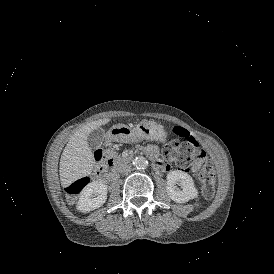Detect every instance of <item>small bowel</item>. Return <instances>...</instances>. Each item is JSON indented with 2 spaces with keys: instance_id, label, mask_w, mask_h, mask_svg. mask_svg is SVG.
<instances>
[{
  "instance_id": "c3829d8e",
  "label": "small bowel",
  "mask_w": 274,
  "mask_h": 274,
  "mask_svg": "<svg viewBox=\"0 0 274 274\" xmlns=\"http://www.w3.org/2000/svg\"><path fill=\"white\" fill-rule=\"evenodd\" d=\"M147 154L151 157H154L156 155V148L152 145H147Z\"/></svg>"
}]
</instances>
